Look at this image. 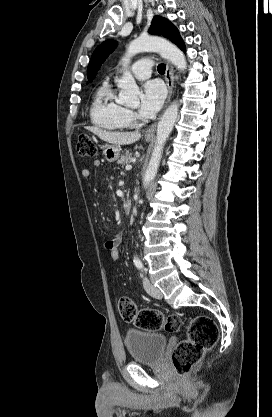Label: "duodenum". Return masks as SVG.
Instances as JSON below:
<instances>
[{
  "label": "duodenum",
  "instance_id": "410a0bca",
  "mask_svg": "<svg viewBox=\"0 0 272 417\" xmlns=\"http://www.w3.org/2000/svg\"><path fill=\"white\" fill-rule=\"evenodd\" d=\"M122 206H123L124 212L129 213L132 208V201L130 199H124Z\"/></svg>",
  "mask_w": 272,
  "mask_h": 417
}]
</instances>
